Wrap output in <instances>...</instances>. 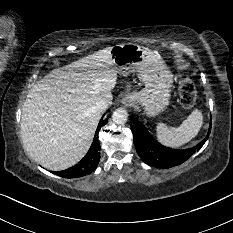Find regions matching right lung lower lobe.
Segmentation results:
<instances>
[{
    "mask_svg": "<svg viewBox=\"0 0 233 233\" xmlns=\"http://www.w3.org/2000/svg\"><path fill=\"white\" fill-rule=\"evenodd\" d=\"M108 122L107 119H101L99 125L97 127L96 134L98 133L99 129ZM100 160V145L97 138H94L93 143L85 155V157L73 167L63 170L52 172L60 177L64 178H77L81 177L85 174H89L94 171L99 163Z\"/></svg>",
    "mask_w": 233,
    "mask_h": 233,
    "instance_id": "1",
    "label": "right lung lower lobe"
}]
</instances>
